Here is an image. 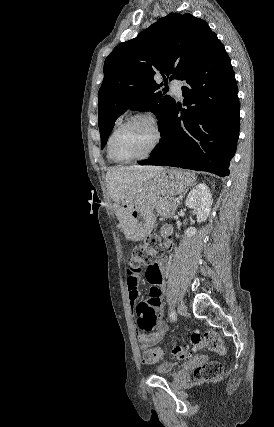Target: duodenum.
Wrapping results in <instances>:
<instances>
[{"mask_svg": "<svg viewBox=\"0 0 274 427\" xmlns=\"http://www.w3.org/2000/svg\"><path fill=\"white\" fill-rule=\"evenodd\" d=\"M165 234H166V237H165L164 245L166 249H169L171 246L170 231L167 229Z\"/></svg>", "mask_w": 274, "mask_h": 427, "instance_id": "duodenum-1", "label": "duodenum"}]
</instances>
